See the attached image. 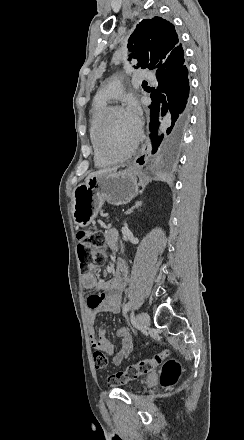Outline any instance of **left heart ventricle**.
<instances>
[{"instance_id": "obj_1", "label": "left heart ventricle", "mask_w": 244, "mask_h": 440, "mask_svg": "<svg viewBox=\"0 0 244 440\" xmlns=\"http://www.w3.org/2000/svg\"><path fill=\"white\" fill-rule=\"evenodd\" d=\"M105 128L108 129L104 137V143L107 146L127 145L129 139L132 138L131 127L124 110L114 111L110 117V124H107Z\"/></svg>"}]
</instances>
